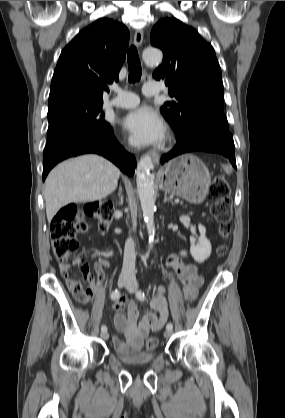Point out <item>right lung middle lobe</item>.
<instances>
[{"label":"right lung middle lobe","mask_w":285,"mask_h":418,"mask_svg":"<svg viewBox=\"0 0 285 418\" xmlns=\"http://www.w3.org/2000/svg\"><path fill=\"white\" fill-rule=\"evenodd\" d=\"M102 101L70 100L48 105L47 144L75 131L111 129L104 120Z\"/></svg>","instance_id":"right-lung-middle-lobe-1"}]
</instances>
